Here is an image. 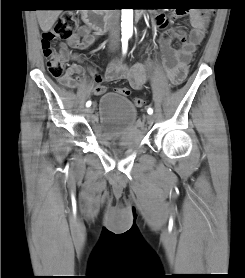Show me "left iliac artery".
<instances>
[{
  "instance_id": "44dca946",
  "label": "left iliac artery",
  "mask_w": 245,
  "mask_h": 278,
  "mask_svg": "<svg viewBox=\"0 0 245 278\" xmlns=\"http://www.w3.org/2000/svg\"><path fill=\"white\" fill-rule=\"evenodd\" d=\"M147 112H148V114H152L153 113V109L152 108H148Z\"/></svg>"
}]
</instances>
